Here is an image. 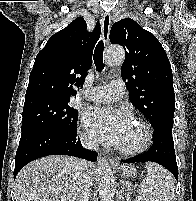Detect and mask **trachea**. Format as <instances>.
Here are the masks:
<instances>
[{
  "label": "trachea",
  "instance_id": "trachea-1",
  "mask_svg": "<svg viewBox=\"0 0 196 201\" xmlns=\"http://www.w3.org/2000/svg\"><path fill=\"white\" fill-rule=\"evenodd\" d=\"M103 51H104L103 41H99L93 55L94 63L98 71H101L104 68Z\"/></svg>",
  "mask_w": 196,
  "mask_h": 201
}]
</instances>
